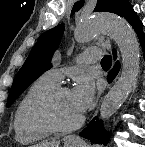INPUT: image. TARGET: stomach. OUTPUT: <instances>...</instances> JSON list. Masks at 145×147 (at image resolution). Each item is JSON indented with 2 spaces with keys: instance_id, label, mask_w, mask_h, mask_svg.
Returning a JSON list of instances; mask_svg holds the SVG:
<instances>
[{
  "instance_id": "1",
  "label": "stomach",
  "mask_w": 145,
  "mask_h": 147,
  "mask_svg": "<svg viewBox=\"0 0 145 147\" xmlns=\"http://www.w3.org/2000/svg\"><path fill=\"white\" fill-rule=\"evenodd\" d=\"M64 147H80V145L77 143L65 142Z\"/></svg>"
}]
</instances>
